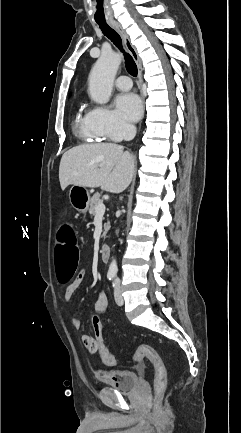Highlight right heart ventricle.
<instances>
[{
    "label": "right heart ventricle",
    "instance_id": "1",
    "mask_svg": "<svg viewBox=\"0 0 241 433\" xmlns=\"http://www.w3.org/2000/svg\"><path fill=\"white\" fill-rule=\"evenodd\" d=\"M74 128L76 135L84 141L99 142L104 139L102 135L93 129L89 119V111L79 110L76 115Z\"/></svg>",
    "mask_w": 241,
    "mask_h": 433
}]
</instances>
